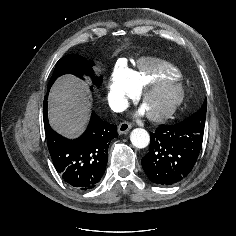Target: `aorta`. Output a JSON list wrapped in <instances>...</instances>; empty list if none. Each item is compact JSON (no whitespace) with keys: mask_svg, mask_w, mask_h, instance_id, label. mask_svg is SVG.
<instances>
[{"mask_svg":"<svg viewBox=\"0 0 236 236\" xmlns=\"http://www.w3.org/2000/svg\"><path fill=\"white\" fill-rule=\"evenodd\" d=\"M131 143L137 148H145L150 142L148 132L143 128L133 129L130 134Z\"/></svg>","mask_w":236,"mask_h":236,"instance_id":"762f6f07","label":"aorta"}]
</instances>
